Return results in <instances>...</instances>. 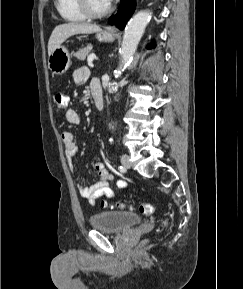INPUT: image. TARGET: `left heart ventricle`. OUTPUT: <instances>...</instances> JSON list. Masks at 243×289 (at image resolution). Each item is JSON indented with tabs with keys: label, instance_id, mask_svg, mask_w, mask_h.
<instances>
[{
	"label": "left heart ventricle",
	"instance_id": "left-heart-ventricle-1",
	"mask_svg": "<svg viewBox=\"0 0 243 289\" xmlns=\"http://www.w3.org/2000/svg\"><path fill=\"white\" fill-rule=\"evenodd\" d=\"M90 6L95 11L104 10L109 4L105 0H89Z\"/></svg>",
	"mask_w": 243,
	"mask_h": 289
}]
</instances>
